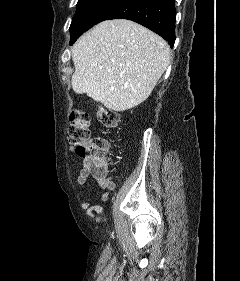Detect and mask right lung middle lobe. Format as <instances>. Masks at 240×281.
<instances>
[{
  "mask_svg": "<svg viewBox=\"0 0 240 281\" xmlns=\"http://www.w3.org/2000/svg\"><path fill=\"white\" fill-rule=\"evenodd\" d=\"M117 0H78L76 13L70 25L72 45L76 39L93 25Z\"/></svg>",
  "mask_w": 240,
  "mask_h": 281,
  "instance_id": "obj_1",
  "label": "right lung middle lobe"
}]
</instances>
